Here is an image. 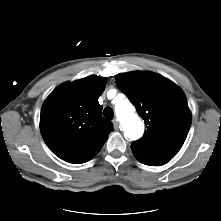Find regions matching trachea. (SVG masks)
<instances>
[{"mask_svg":"<svg viewBox=\"0 0 221 221\" xmlns=\"http://www.w3.org/2000/svg\"><path fill=\"white\" fill-rule=\"evenodd\" d=\"M103 116L109 120H112L113 117H114V112H113V109L111 107H106L104 110H103Z\"/></svg>","mask_w":221,"mask_h":221,"instance_id":"1","label":"trachea"}]
</instances>
